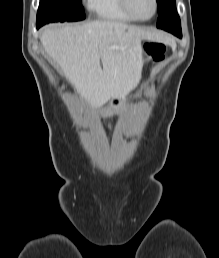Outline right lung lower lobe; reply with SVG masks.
<instances>
[{"label":"right lung lower lobe","instance_id":"obj_1","mask_svg":"<svg viewBox=\"0 0 219 258\" xmlns=\"http://www.w3.org/2000/svg\"><path fill=\"white\" fill-rule=\"evenodd\" d=\"M37 26V29H39L41 26L40 25H36Z\"/></svg>","mask_w":219,"mask_h":258}]
</instances>
